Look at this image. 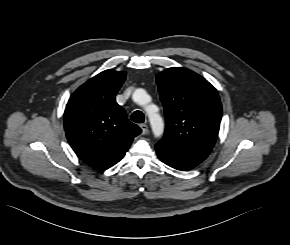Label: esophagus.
Listing matches in <instances>:
<instances>
[{"label": "esophagus", "mask_w": 290, "mask_h": 245, "mask_svg": "<svg viewBox=\"0 0 290 245\" xmlns=\"http://www.w3.org/2000/svg\"><path fill=\"white\" fill-rule=\"evenodd\" d=\"M140 128L142 129V134H146L148 132V125L143 123L140 125Z\"/></svg>", "instance_id": "esophagus-1"}]
</instances>
